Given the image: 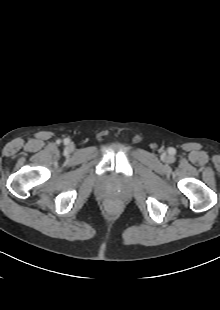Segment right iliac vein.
<instances>
[{
    "instance_id": "63e3f726",
    "label": "right iliac vein",
    "mask_w": 220,
    "mask_h": 310,
    "mask_svg": "<svg viewBox=\"0 0 220 310\" xmlns=\"http://www.w3.org/2000/svg\"><path fill=\"white\" fill-rule=\"evenodd\" d=\"M67 149H68L69 151H72V150L74 149V145H73V144H69V145L67 146Z\"/></svg>"
}]
</instances>
